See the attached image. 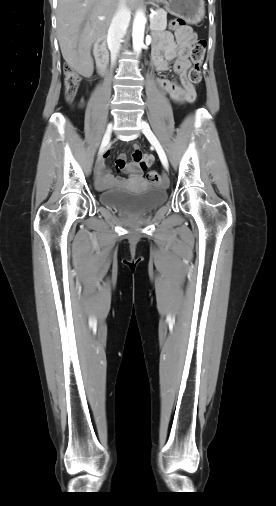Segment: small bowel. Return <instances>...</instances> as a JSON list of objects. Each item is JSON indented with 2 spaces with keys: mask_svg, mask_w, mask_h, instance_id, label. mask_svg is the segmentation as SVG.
<instances>
[{
  "mask_svg": "<svg viewBox=\"0 0 276 506\" xmlns=\"http://www.w3.org/2000/svg\"><path fill=\"white\" fill-rule=\"evenodd\" d=\"M176 42L169 34L159 36L158 41L152 48V65L157 71H167L168 63L175 60L174 72L180 77L181 85L169 79H157L162 91L172 100L179 103H192L196 98V91L193 84L186 78V72L190 67L188 51L195 33L189 27L175 33ZM141 159H136L137 156ZM133 161H126V154L119 155L116 161V168L122 170L129 176L130 180H139L142 173L152 165L154 157L150 154L142 155L138 145H134ZM125 180L122 177L114 176L104 170V164L100 163L97 172V186L101 189L123 185Z\"/></svg>",
  "mask_w": 276,
  "mask_h": 506,
  "instance_id": "obj_1",
  "label": "small bowel"
}]
</instances>
